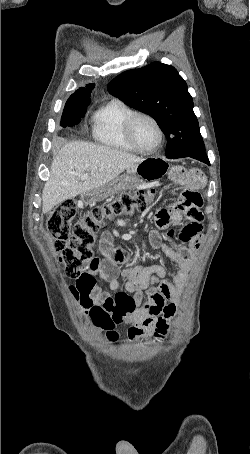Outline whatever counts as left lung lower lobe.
Returning <instances> with one entry per match:
<instances>
[{
  "instance_id": "obj_1",
  "label": "left lung lower lobe",
  "mask_w": 250,
  "mask_h": 454,
  "mask_svg": "<svg viewBox=\"0 0 250 454\" xmlns=\"http://www.w3.org/2000/svg\"><path fill=\"white\" fill-rule=\"evenodd\" d=\"M180 157H191V158L197 159V160H199L201 162H204V163L210 165L208 157H207L205 151L194 152V153L185 154V155H177V156H172L170 158L175 159V158H180Z\"/></svg>"
}]
</instances>
